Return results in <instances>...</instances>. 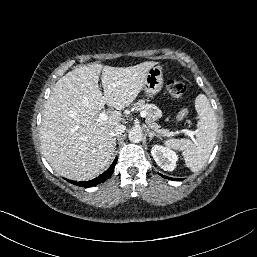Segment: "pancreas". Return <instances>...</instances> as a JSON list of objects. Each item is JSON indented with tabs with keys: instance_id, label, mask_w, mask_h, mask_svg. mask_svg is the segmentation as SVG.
Listing matches in <instances>:
<instances>
[{
	"instance_id": "1",
	"label": "pancreas",
	"mask_w": 257,
	"mask_h": 257,
	"mask_svg": "<svg viewBox=\"0 0 257 257\" xmlns=\"http://www.w3.org/2000/svg\"><path fill=\"white\" fill-rule=\"evenodd\" d=\"M134 110L145 111L147 125L163 137H171L174 134L169 130L161 128L160 125L155 123L156 120L161 116V111L153 104H148L144 100H138L133 104Z\"/></svg>"
}]
</instances>
